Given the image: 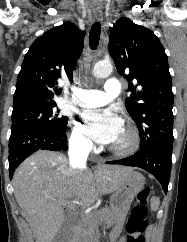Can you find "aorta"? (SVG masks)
<instances>
[{"mask_svg":"<svg viewBox=\"0 0 187 242\" xmlns=\"http://www.w3.org/2000/svg\"><path fill=\"white\" fill-rule=\"evenodd\" d=\"M113 71V66L110 62L100 61L94 65L93 75L96 78L108 77Z\"/></svg>","mask_w":187,"mask_h":242,"instance_id":"obj_1","label":"aorta"}]
</instances>
